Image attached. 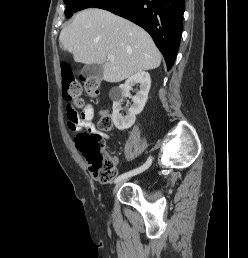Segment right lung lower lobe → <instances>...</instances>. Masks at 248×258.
Returning <instances> with one entry per match:
<instances>
[{
	"mask_svg": "<svg viewBox=\"0 0 248 258\" xmlns=\"http://www.w3.org/2000/svg\"><path fill=\"white\" fill-rule=\"evenodd\" d=\"M95 7L144 28L163 54L167 70L171 69L180 43L185 0H108Z\"/></svg>",
	"mask_w": 248,
	"mask_h": 258,
	"instance_id": "98d812e1",
	"label": "right lung lower lobe"
}]
</instances>
